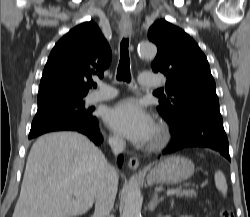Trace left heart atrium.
<instances>
[{"label": "left heart atrium", "instance_id": "1", "mask_svg": "<svg viewBox=\"0 0 250 217\" xmlns=\"http://www.w3.org/2000/svg\"><path fill=\"white\" fill-rule=\"evenodd\" d=\"M105 121L113 130L136 144L149 142L155 133L153 119L140 103L132 98L108 108L105 112Z\"/></svg>", "mask_w": 250, "mask_h": 217}]
</instances>
